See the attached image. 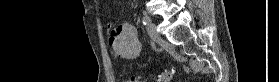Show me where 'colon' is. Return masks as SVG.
Segmentation results:
<instances>
[{"instance_id": "5ec220e1", "label": "colon", "mask_w": 279, "mask_h": 82, "mask_svg": "<svg viewBox=\"0 0 279 82\" xmlns=\"http://www.w3.org/2000/svg\"><path fill=\"white\" fill-rule=\"evenodd\" d=\"M174 73H175V69L173 67L166 69L162 77L160 78L159 82H169L172 79Z\"/></svg>"}]
</instances>
